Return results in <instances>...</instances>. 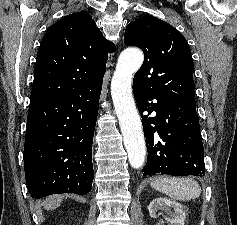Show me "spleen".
<instances>
[{
	"label": "spleen",
	"instance_id": "spleen-1",
	"mask_svg": "<svg viewBox=\"0 0 237 225\" xmlns=\"http://www.w3.org/2000/svg\"><path fill=\"white\" fill-rule=\"evenodd\" d=\"M151 187L179 201L195 199L201 194V187L193 178H156L152 180Z\"/></svg>",
	"mask_w": 237,
	"mask_h": 225
}]
</instances>
